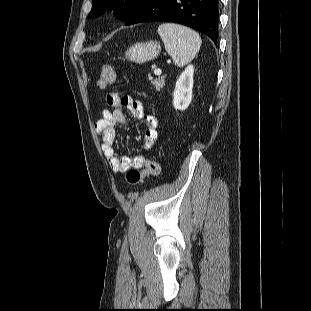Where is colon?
Here are the masks:
<instances>
[{"instance_id": "1", "label": "colon", "mask_w": 311, "mask_h": 311, "mask_svg": "<svg viewBox=\"0 0 311 311\" xmlns=\"http://www.w3.org/2000/svg\"><path fill=\"white\" fill-rule=\"evenodd\" d=\"M117 80V74L112 66H104L99 75L98 85L105 89L113 85ZM160 173V164L157 159L150 158L145 162L143 169H131L127 172L126 179L129 185H138L146 177L156 176Z\"/></svg>"}]
</instances>
